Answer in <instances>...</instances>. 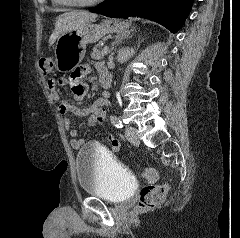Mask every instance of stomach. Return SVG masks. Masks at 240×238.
Listing matches in <instances>:
<instances>
[{
	"label": "stomach",
	"instance_id": "0dacf381",
	"mask_svg": "<svg viewBox=\"0 0 240 238\" xmlns=\"http://www.w3.org/2000/svg\"><path fill=\"white\" fill-rule=\"evenodd\" d=\"M129 28V23L118 19H106L101 24L87 23L77 30L59 35L54 48L56 69L69 72L84 58L86 45L96 43L110 33H122Z\"/></svg>",
	"mask_w": 240,
	"mask_h": 238
}]
</instances>
